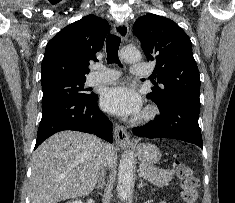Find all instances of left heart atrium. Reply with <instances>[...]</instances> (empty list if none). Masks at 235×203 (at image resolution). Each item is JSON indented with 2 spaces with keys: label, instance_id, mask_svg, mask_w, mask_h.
I'll list each match as a JSON object with an SVG mask.
<instances>
[{
  "label": "left heart atrium",
  "instance_id": "39dd6f15",
  "mask_svg": "<svg viewBox=\"0 0 235 203\" xmlns=\"http://www.w3.org/2000/svg\"><path fill=\"white\" fill-rule=\"evenodd\" d=\"M141 105V99L137 93L126 86L107 88L101 96L102 108L107 112L122 117L139 114Z\"/></svg>",
  "mask_w": 235,
  "mask_h": 203
}]
</instances>
